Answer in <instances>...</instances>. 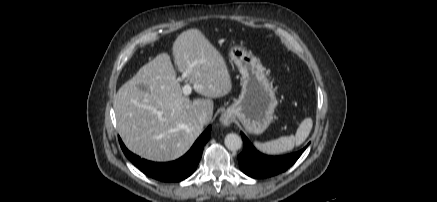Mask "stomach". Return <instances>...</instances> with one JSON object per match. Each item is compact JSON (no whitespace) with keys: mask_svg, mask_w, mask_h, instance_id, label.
Instances as JSON below:
<instances>
[{"mask_svg":"<svg viewBox=\"0 0 437 202\" xmlns=\"http://www.w3.org/2000/svg\"><path fill=\"white\" fill-rule=\"evenodd\" d=\"M229 55L242 76V89L224 116L237 118L249 133L261 134L270 125L277 106L273 87L260 60L250 52L235 45Z\"/></svg>","mask_w":437,"mask_h":202,"instance_id":"0dacf381","label":"stomach"}]
</instances>
